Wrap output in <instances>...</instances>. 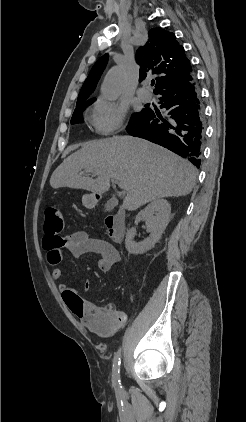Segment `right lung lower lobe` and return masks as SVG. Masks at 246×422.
<instances>
[{
    "label": "right lung lower lobe",
    "instance_id": "1",
    "mask_svg": "<svg viewBox=\"0 0 246 422\" xmlns=\"http://www.w3.org/2000/svg\"><path fill=\"white\" fill-rule=\"evenodd\" d=\"M161 108L167 117L146 109L138 120L129 123L127 132L147 139L188 159L200 167L204 141V116L195 78L161 90Z\"/></svg>",
    "mask_w": 246,
    "mask_h": 422
}]
</instances>
